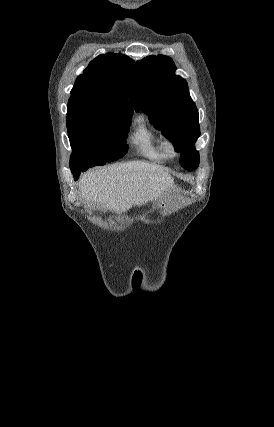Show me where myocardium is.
Listing matches in <instances>:
<instances>
[{
  "label": "myocardium",
  "mask_w": 274,
  "mask_h": 427,
  "mask_svg": "<svg viewBox=\"0 0 274 427\" xmlns=\"http://www.w3.org/2000/svg\"><path fill=\"white\" fill-rule=\"evenodd\" d=\"M163 147L169 157H177L180 154V146L174 138H165Z\"/></svg>",
  "instance_id": "myocardium-1"
}]
</instances>
